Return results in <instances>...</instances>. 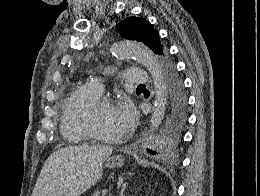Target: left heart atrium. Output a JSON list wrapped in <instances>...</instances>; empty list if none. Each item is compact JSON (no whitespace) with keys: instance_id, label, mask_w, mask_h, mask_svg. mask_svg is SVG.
Returning a JSON list of instances; mask_svg holds the SVG:
<instances>
[{"instance_id":"left-heart-atrium-1","label":"left heart atrium","mask_w":260,"mask_h":196,"mask_svg":"<svg viewBox=\"0 0 260 196\" xmlns=\"http://www.w3.org/2000/svg\"><path fill=\"white\" fill-rule=\"evenodd\" d=\"M117 113L123 129H127L132 125L135 119V112L133 107L126 101L117 104Z\"/></svg>"}]
</instances>
